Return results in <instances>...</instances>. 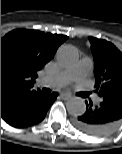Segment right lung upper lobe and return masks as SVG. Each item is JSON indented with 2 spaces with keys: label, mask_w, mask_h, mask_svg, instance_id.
Here are the masks:
<instances>
[{
  "label": "right lung upper lobe",
  "mask_w": 122,
  "mask_h": 154,
  "mask_svg": "<svg viewBox=\"0 0 122 154\" xmlns=\"http://www.w3.org/2000/svg\"><path fill=\"white\" fill-rule=\"evenodd\" d=\"M68 37L35 30L16 29L1 38V115L32 89L37 72L49 62Z\"/></svg>",
  "instance_id": "1"
}]
</instances>
